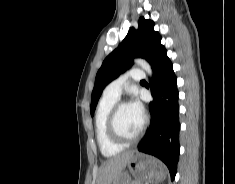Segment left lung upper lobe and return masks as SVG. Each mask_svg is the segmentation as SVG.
<instances>
[{
  "label": "left lung upper lobe",
  "instance_id": "obj_1",
  "mask_svg": "<svg viewBox=\"0 0 235 184\" xmlns=\"http://www.w3.org/2000/svg\"><path fill=\"white\" fill-rule=\"evenodd\" d=\"M153 27V21L141 17L138 21V29L131 28L119 46L106 57L95 78L91 97V116L94 114L104 87L129 69L134 58H144L151 64L161 41V36L153 30Z\"/></svg>",
  "mask_w": 235,
  "mask_h": 184
}]
</instances>
